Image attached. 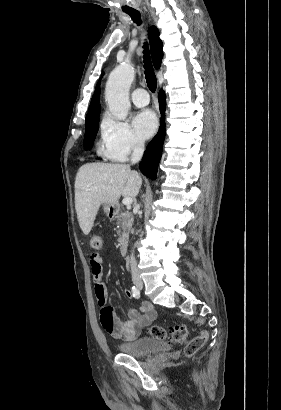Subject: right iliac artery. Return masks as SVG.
<instances>
[{
  "label": "right iliac artery",
  "mask_w": 281,
  "mask_h": 410,
  "mask_svg": "<svg viewBox=\"0 0 281 410\" xmlns=\"http://www.w3.org/2000/svg\"><path fill=\"white\" fill-rule=\"evenodd\" d=\"M131 290H132L133 296H134L135 298H139V297H140V291H139L135 286H132Z\"/></svg>",
  "instance_id": "obj_1"
}]
</instances>
